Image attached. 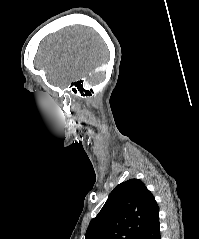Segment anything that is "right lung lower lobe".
<instances>
[{
  "instance_id": "98d812e1",
  "label": "right lung lower lobe",
  "mask_w": 199,
  "mask_h": 239,
  "mask_svg": "<svg viewBox=\"0 0 199 239\" xmlns=\"http://www.w3.org/2000/svg\"><path fill=\"white\" fill-rule=\"evenodd\" d=\"M138 239H161L160 238V225L159 218L154 221Z\"/></svg>"
}]
</instances>
